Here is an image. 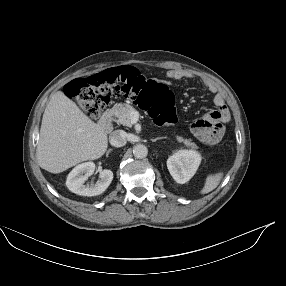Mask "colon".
<instances>
[{
    "label": "colon",
    "mask_w": 286,
    "mask_h": 286,
    "mask_svg": "<svg viewBox=\"0 0 286 286\" xmlns=\"http://www.w3.org/2000/svg\"><path fill=\"white\" fill-rule=\"evenodd\" d=\"M67 95L92 117L110 102L113 96L137 97L158 124L176 120L174 96L164 83L146 78L134 67L108 69L83 79L71 81ZM224 133V122L216 112L209 111L192 125V135L201 144L218 145Z\"/></svg>",
    "instance_id": "5ec220e1"
}]
</instances>
